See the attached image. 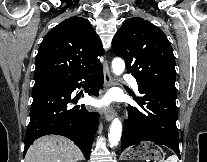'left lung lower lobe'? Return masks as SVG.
<instances>
[{
	"label": "left lung lower lobe",
	"mask_w": 207,
	"mask_h": 162,
	"mask_svg": "<svg viewBox=\"0 0 207 162\" xmlns=\"http://www.w3.org/2000/svg\"><path fill=\"white\" fill-rule=\"evenodd\" d=\"M142 97L135 99L141 108L127 107L129 118L124 126L121 151L141 141H151L171 148L179 157L176 127V90L138 87Z\"/></svg>",
	"instance_id": "1"
}]
</instances>
